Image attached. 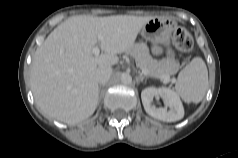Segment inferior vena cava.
Wrapping results in <instances>:
<instances>
[{"label":"inferior vena cava","mask_w":238,"mask_h":158,"mask_svg":"<svg viewBox=\"0 0 238 158\" xmlns=\"http://www.w3.org/2000/svg\"><path fill=\"white\" fill-rule=\"evenodd\" d=\"M112 75V68L109 65H99L96 70V79L100 85H105Z\"/></svg>","instance_id":"1"}]
</instances>
